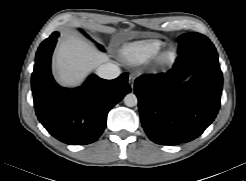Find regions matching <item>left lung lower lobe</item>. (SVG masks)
<instances>
[{"mask_svg": "<svg viewBox=\"0 0 246 181\" xmlns=\"http://www.w3.org/2000/svg\"><path fill=\"white\" fill-rule=\"evenodd\" d=\"M178 54L166 74L142 75L134 85L142 126L161 145L197 138L220 107L223 77L214 45L210 42ZM190 74L191 79L183 83Z\"/></svg>", "mask_w": 246, "mask_h": 181, "instance_id": "obj_1", "label": "left lung lower lobe"}]
</instances>
